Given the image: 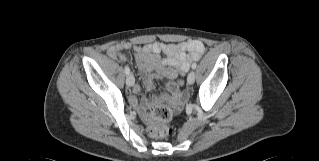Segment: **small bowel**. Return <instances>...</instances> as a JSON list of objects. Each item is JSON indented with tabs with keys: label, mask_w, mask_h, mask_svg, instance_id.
<instances>
[{
	"label": "small bowel",
	"mask_w": 319,
	"mask_h": 161,
	"mask_svg": "<svg viewBox=\"0 0 319 161\" xmlns=\"http://www.w3.org/2000/svg\"><path fill=\"white\" fill-rule=\"evenodd\" d=\"M130 48V43H119L110 46L107 49V55L113 59L124 61L126 60V56L123 54V51ZM204 52V44L197 40L183 41L176 44L155 41L134 47L137 66L141 72L148 75L144 81L145 86L148 89H152L153 87V77L150 76L152 72L157 73L156 77H161L163 75H179L182 77L188 71L191 62L199 60ZM161 54H163L165 58H161ZM172 68H176V70H172ZM182 84L183 80L179 79L177 89L169 102L170 106L176 111L182 108L186 100V95L180 88ZM133 92L139 94L141 92V87L137 84L134 85ZM159 102L160 101L157 99H146L142 104H138L135 98L130 99V103L136 108L138 115L144 119L149 117L147 106Z\"/></svg>",
	"instance_id": "obj_1"
}]
</instances>
